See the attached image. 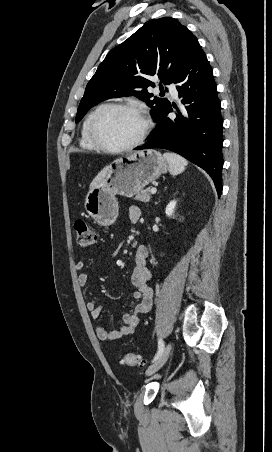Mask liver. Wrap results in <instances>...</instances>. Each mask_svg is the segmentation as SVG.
<instances>
[{
    "label": "liver",
    "instance_id": "obj_1",
    "mask_svg": "<svg viewBox=\"0 0 272 452\" xmlns=\"http://www.w3.org/2000/svg\"><path fill=\"white\" fill-rule=\"evenodd\" d=\"M108 169H109V166H106L98 173V175L91 182L89 191H92L93 189H95L103 181L104 177L107 174Z\"/></svg>",
    "mask_w": 272,
    "mask_h": 452
}]
</instances>
